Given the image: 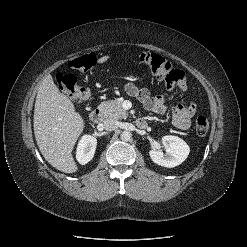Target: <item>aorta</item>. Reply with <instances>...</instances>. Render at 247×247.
<instances>
[{
    "label": "aorta",
    "instance_id": "762f6f07",
    "mask_svg": "<svg viewBox=\"0 0 247 247\" xmlns=\"http://www.w3.org/2000/svg\"><path fill=\"white\" fill-rule=\"evenodd\" d=\"M132 137V134L130 131H123L120 135V138L122 141H129Z\"/></svg>",
    "mask_w": 247,
    "mask_h": 247
}]
</instances>
